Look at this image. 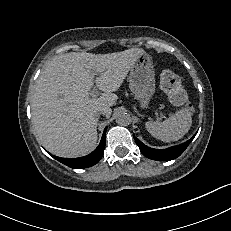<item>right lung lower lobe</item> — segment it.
<instances>
[{"instance_id":"1","label":"right lung lower lobe","mask_w":231,"mask_h":231,"mask_svg":"<svg viewBox=\"0 0 231 231\" xmlns=\"http://www.w3.org/2000/svg\"><path fill=\"white\" fill-rule=\"evenodd\" d=\"M107 128H105L104 133L102 135V139L98 147L89 155L80 157V158H60L57 156H53L59 162L73 168V169H81L87 168L95 165L102 158L105 149V134Z\"/></svg>"}]
</instances>
